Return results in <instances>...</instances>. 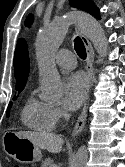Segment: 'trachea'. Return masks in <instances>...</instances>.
<instances>
[{
	"instance_id": "1",
	"label": "trachea",
	"mask_w": 125,
	"mask_h": 167,
	"mask_svg": "<svg viewBox=\"0 0 125 167\" xmlns=\"http://www.w3.org/2000/svg\"><path fill=\"white\" fill-rule=\"evenodd\" d=\"M74 48L80 58L82 59L86 58V49L80 37L75 38Z\"/></svg>"
}]
</instances>
